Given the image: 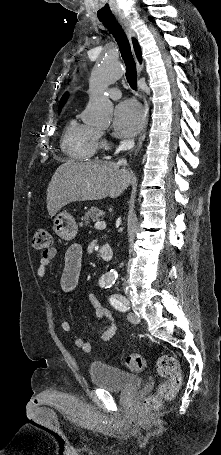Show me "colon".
I'll return each instance as SVG.
<instances>
[{"label": "colon", "mask_w": 221, "mask_h": 455, "mask_svg": "<svg viewBox=\"0 0 221 455\" xmlns=\"http://www.w3.org/2000/svg\"><path fill=\"white\" fill-rule=\"evenodd\" d=\"M51 244L50 231L44 227L37 228L33 236V246L36 249L48 250L51 248ZM125 366L129 371L141 372L146 368L147 362L140 354H130L125 358ZM157 371L164 381L159 384L155 395L145 399L143 406L146 410H156L164 401L171 400L182 384L179 364L175 357L160 356L157 360Z\"/></svg>", "instance_id": "1"}]
</instances>
